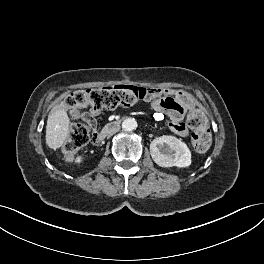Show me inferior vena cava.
<instances>
[{"label": "inferior vena cava", "instance_id": "obj_1", "mask_svg": "<svg viewBox=\"0 0 264 264\" xmlns=\"http://www.w3.org/2000/svg\"><path fill=\"white\" fill-rule=\"evenodd\" d=\"M119 132H122V127H117L115 131H111L110 134H107V139H112L115 135H117Z\"/></svg>", "mask_w": 264, "mask_h": 264}]
</instances>
